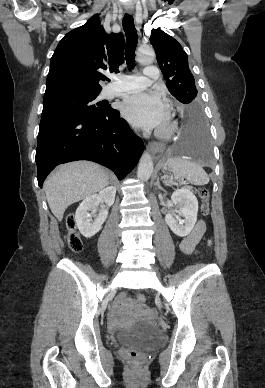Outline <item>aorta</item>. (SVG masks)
Instances as JSON below:
<instances>
[{
  "label": "aorta",
  "mask_w": 265,
  "mask_h": 388,
  "mask_svg": "<svg viewBox=\"0 0 265 388\" xmlns=\"http://www.w3.org/2000/svg\"><path fill=\"white\" fill-rule=\"evenodd\" d=\"M154 58L152 49H142L139 53V61L144 64L151 63ZM153 172V160L148 152H144L140 158L137 177L141 181H147Z\"/></svg>",
  "instance_id": "aorta-1"
}]
</instances>
